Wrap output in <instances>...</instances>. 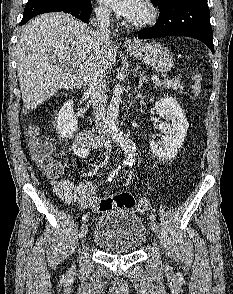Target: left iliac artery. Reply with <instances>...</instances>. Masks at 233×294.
<instances>
[{
  "mask_svg": "<svg viewBox=\"0 0 233 294\" xmlns=\"http://www.w3.org/2000/svg\"><path fill=\"white\" fill-rule=\"evenodd\" d=\"M131 165H132V164H131ZM150 219H151V220H155V219H156L155 215H154V214H151V215H150Z\"/></svg>",
  "mask_w": 233,
  "mask_h": 294,
  "instance_id": "obj_1",
  "label": "left iliac artery"
}]
</instances>
